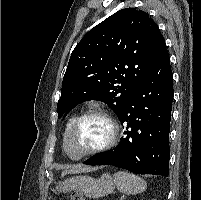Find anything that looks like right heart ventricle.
Masks as SVG:
<instances>
[{"mask_svg":"<svg viewBox=\"0 0 201 200\" xmlns=\"http://www.w3.org/2000/svg\"><path fill=\"white\" fill-rule=\"evenodd\" d=\"M73 120L69 121L68 124L66 125V128H65V132H64V135H63V148H64V137H65V134H66V131L67 129L69 128L70 124L72 123Z\"/></svg>","mask_w":201,"mask_h":200,"instance_id":"1","label":"right heart ventricle"}]
</instances>
